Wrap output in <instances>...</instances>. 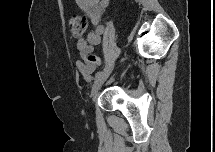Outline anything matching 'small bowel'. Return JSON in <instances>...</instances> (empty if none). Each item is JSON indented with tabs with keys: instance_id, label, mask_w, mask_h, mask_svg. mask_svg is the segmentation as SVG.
Returning a JSON list of instances; mask_svg holds the SVG:
<instances>
[{
	"instance_id": "c3829d8e",
	"label": "small bowel",
	"mask_w": 215,
	"mask_h": 152,
	"mask_svg": "<svg viewBox=\"0 0 215 152\" xmlns=\"http://www.w3.org/2000/svg\"><path fill=\"white\" fill-rule=\"evenodd\" d=\"M77 5L90 18L92 23V30L88 33L85 39H80L77 43V48L82 57L91 52L93 48L100 44L101 35L104 32L103 16L106 8L109 5V0H76ZM76 69L81 73L84 79L91 82L92 77L87 71L86 65L77 60L75 63Z\"/></svg>"
}]
</instances>
